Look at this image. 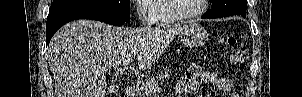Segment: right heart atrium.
<instances>
[{
	"label": "right heart atrium",
	"mask_w": 302,
	"mask_h": 97,
	"mask_svg": "<svg viewBox=\"0 0 302 97\" xmlns=\"http://www.w3.org/2000/svg\"><path fill=\"white\" fill-rule=\"evenodd\" d=\"M136 14L139 21L143 24H152L154 22V17L146 7L152 0H137Z\"/></svg>",
	"instance_id": "obj_1"
}]
</instances>
